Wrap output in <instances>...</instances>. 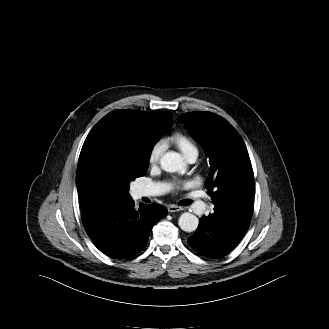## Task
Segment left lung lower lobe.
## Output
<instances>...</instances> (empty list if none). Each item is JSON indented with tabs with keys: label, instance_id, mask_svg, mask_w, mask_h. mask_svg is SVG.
Wrapping results in <instances>:
<instances>
[{
	"label": "left lung lower lobe",
	"instance_id": "1",
	"mask_svg": "<svg viewBox=\"0 0 329 329\" xmlns=\"http://www.w3.org/2000/svg\"><path fill=\"white\" fill-rule=\"evenodd\" d=\"M252 187L228 202L217 204L214 213L199 220L189 245L208 258H221L232 251L246 234L252 217Z\"/></svg>",
	"mask_w": 329,
	"mask_h": 329
}]
</instances>
